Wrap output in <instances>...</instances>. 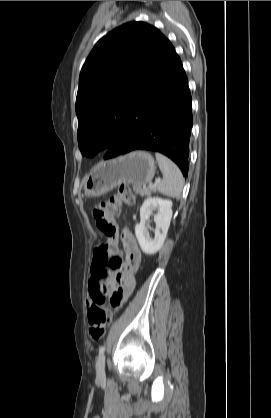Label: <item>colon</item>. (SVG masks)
<instances>
[{
  "mask_svg": "<svg viewBox=\"0 0 271 418\" xmlns=\"http://www.w3.org/2000/svg\"><path fill=\"white\" fill-rule=\"evenodd\" d=\"M134 202L132 192L125 186L118 188L115 195L97 204L93 209V216L97 228L105 234L109 243L115 239L116 227L114 218L119 214L123 205H131ZM109 244H104L94 251L92 262V278L95 281L93 302L88 309L89 334L93 340L103 337L106 328L111 322V315L106 311V298L101 282L110 274L121 267L119 257H109ZM119 303V299L115 300Z\"/></svg>",
  "mask_w": 271,
  "mask_h": 418,
  "instance_id": "1",
  "label": "colon"
}]
</instances>
